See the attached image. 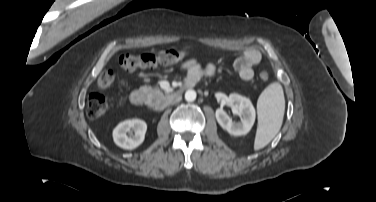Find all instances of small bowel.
Masks as SVG:
<instances>
[{
    "instance_id": "c3829d8e",
    "label": "small bowel",
    "mask_w": 376,
    "mask_h": 202,
    "mask_svg": "<svg viewBox=\"0 0 376 202\" xmlns=\"http://www.w3.org/2000/svg\"><path fill=\"white\" fill-rule=\"evenodd\" d=\"M261 59V52L258 49L252 48L245 51L235 60L234 67L243 80L249 81L254 75L253 67L259 64ZM180 68L187 71L185 79L186 84L192 85L198 82L202 76H211L216 73V68L213 64H208L203 68L196 59H190L184 62Z\"/></svg>"
}]
</instances>
